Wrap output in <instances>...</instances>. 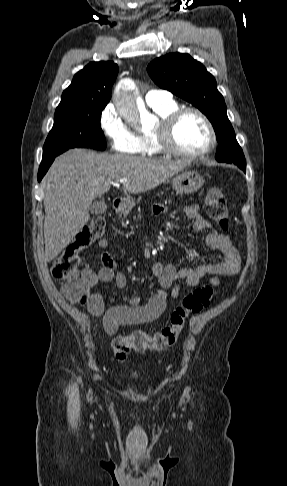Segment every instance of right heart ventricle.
I'll return each mask as SVG.
<instances>
[{
  "instance_id": "e07e8e85",
  "label": "right heart ventricle",
  "mask_w": 287,
  "mask_h": 486,
  "mask_svg": "<svg viewBox=\"0 0 287 486\" xmlns=\"http://www.w3.org/2000/svg\"><path fill=\"white\" fill-rule=\"evenodd\" d=\"M153 111L161 118H165L168 114L175 111L178 105L175 101L151 106ZM139 148L136 153L142 156L152 157L163 153L160 148L154 132L144 133L138 136Z\"/></svg>"
}]
</instances>
